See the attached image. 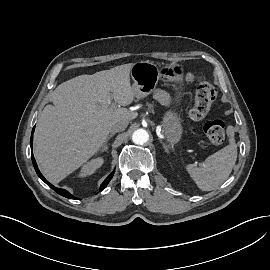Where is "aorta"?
<instances>
[{"mask_svg":"<svg viewBox=\"0 0 270 270\" xmlns=\"http://www.w3.org/2000/svg\"><path fill=\"white\" fill-rule=\"evenodd\" d=\"M132 140L135 144L143 145L149 140V134L144 129H137L132 135Z\"/></svg>","mask_w":270,"mask_h":270,"instance_id":"1","label":"aorta"}]
</instances>
